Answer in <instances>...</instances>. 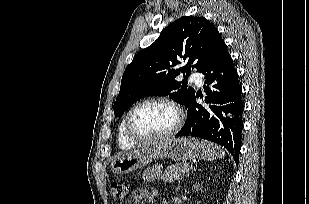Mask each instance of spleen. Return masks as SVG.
Instances as JSON below:
<instances>
[{"instance_id": "spleen-1", "label": "spleen", "mask_w": 309, "mask_h": 204, "mask_svg": "<svg viewBox=\"0 0 309 204\" xmlns=\"http://www.w3.org/2000/svg\"><path fill=\"white\" fill-rule=\"evenodd\" d=\"M201 145L203 148V157L206 160L213 161L225 157V150L221 146L208 141H202Z\"/></svg>"}]
</instances>
